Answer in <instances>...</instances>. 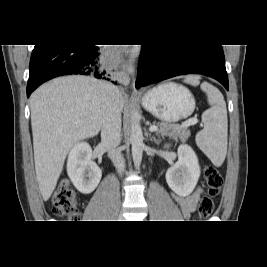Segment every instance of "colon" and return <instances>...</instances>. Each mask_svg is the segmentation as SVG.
I'll return each instance as SVG.
<instances>
[{"mask_svg":"<svg viewBox=\"0 0 267 267\" xmlns=\"http://www.w3.org/2000/svg\"><path fill=\"white\" fill-rule=\"evenodd\" d=\"M204 179L207 189L198 206V214L202 219L212 214L214 210V198L223 187V177L213 166L205 167ZM52 203V210L56 216L65 217L69 220H75L79 217L78 202L69 181L63 180L59 183L54 191Z\"/></svg>","mask_w":267,"mask_h":267,"instance_id":"1","label":"colon"}]
</instances>
